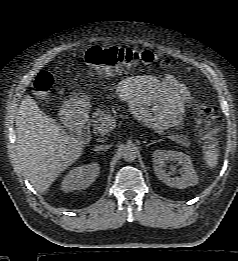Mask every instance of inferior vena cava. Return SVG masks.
Here are the masks:
<instances>
[{"label": "inferior vena cava", "instance_id": "inferior-vena-cava-1", "mask_svg": "<svg viewBox=\"0 0 238 261\" xmlns=\"http://www.w3.org/2000/svg\"><path fill=\"white\" fill-rule=\"evenodd\" d=\"M108 148H109V146L100 145V146H96L94 150L101 151V150H106Z\"/></svg>", "mask_w": 238, "mask_h": 261}]
</instances>
